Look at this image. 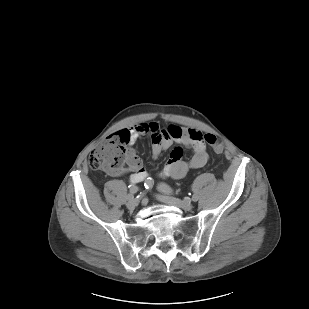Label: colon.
<instances>
[{
	"mask_svg": "<svg viewBox=\"0 0 309 309\" xmlns=\"http://www.w3.org/2000/svg\"><path fill=\"white\" fill-rule=\"evenodd\" d=\"M203 140L216 153H221L224 150L222 142L212 134L204 135ZM126 143L127 139L118 134L109 136L90 153L88 157L89 167L93 170L110 173L121 170L127 154Z\"/></svg>",
	"mask_w": 309,
	"mask_h": 309,
	"instance_id": "obj_1",
	"label": "colon"
}]
</instances>
